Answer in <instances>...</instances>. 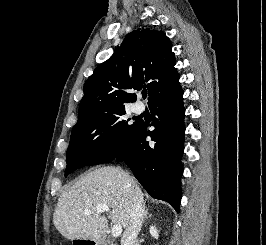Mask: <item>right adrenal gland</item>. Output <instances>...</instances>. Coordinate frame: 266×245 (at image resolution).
I'll use <instances>...</instances> for the list:
<instances>
[{
  "instance_id": "right-adrenal-gland-1",
  "label": "right adrenal gland",
  "mask_w": 266,
  "mask_h": 245,
  "mask_svg": "<svg viewBox=\"0 0 266 245\" xmlns=\"http://www.w3.org/2000/svg\"><path fill=\"white\" fill-rule=\"evenodd\" d=\"M148 217H151V215H149L148 209H146V211L144 213V217H143V223H146Z\"/></svg>"
}]
</instances>
